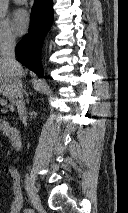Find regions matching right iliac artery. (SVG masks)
I'll use <instances>...</instances> for the list:
<instances>
[{"instance_id":"1","label":"right iliac artery","mask_w":128,"mask_h":213,"mask_svg":"<svg viewBox=\"0 0 128 213\" xmlns=\"http://www.w3.org/2000/svg\"><path fill=\"white\" fill-rule=\"evenodd\" d=\"M28 213H32V211L31 210H29V212Z\"/></svg>"}]
</instances>
